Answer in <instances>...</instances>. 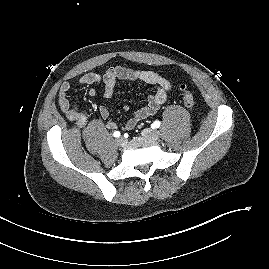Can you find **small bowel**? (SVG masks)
<instances>
[{
  "label": "small bowel",
  "mask_w": 269,
  "mask_h": 269,
  "mask_svg": "<svg viewBox=\"0 0 269 269\" xmlns=\"http://www.w3.org/2000/svg\"><path fill=\"white\" fill-rule=\"evenodd\" d=\"M123 80L136 81L155 87V93L148 97L145 106L138 109L122 127L124 130H131L139 121L153 116L158 111L160 106L166 101L168 93L171 92L172 84L169 80L156 72L125 66L111 67L103 73L89 72L80 78L79 84L91 85L102 83L104 86V96L106 98H111L114 94L116 83ZM70 89L71 84L69 82L62 83L58 93V104L68 120L75 122L79 128H83L87 123V117L80 108L71 105L68 98ZM96 94L97 91L95 88L89 90L90 96H95ZM123 109L126 111L127 107H124ZM98 111L100 117L106 122V127L109 130H115L119 127L117 122L111 119L110 111L107 107L100 106Z\"/></svg>",
  "instance_id": "obj_1"
}]
</instances>
